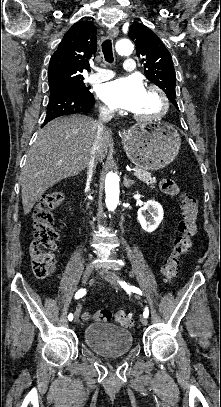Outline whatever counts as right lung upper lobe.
I'll return each mask as SVG.
<instances>
[{"label": "right lung upper lobe", "instance_id": "1", "mask_svg": "<svg viewBox=\"0 0 221 407\" xmlns=\"http://www.w3.org/2000/svg\"><path fill=\"white\" fill-rule=\"evenodd\" d=\"M96 51V27L91 22L75 23L50 59V89L83 82L81 73L89 68Z\"/></svg>", "mask_w": 221, "mask_h": 407}]
</instances>
